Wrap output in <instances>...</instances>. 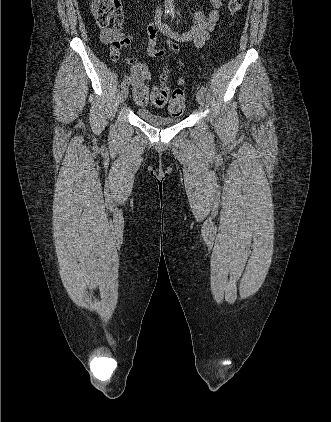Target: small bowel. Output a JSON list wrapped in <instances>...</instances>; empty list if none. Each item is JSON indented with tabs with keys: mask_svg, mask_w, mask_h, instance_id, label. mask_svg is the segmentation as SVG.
<instances>
[{
	"mask_svg": "<svg viewBox=\"0 0 331 422\" xmlns=\"http://www.w3.org/2000/svg\"><path fill=\"white\" fill-rule=\"evenodd\" d=\"M212 9L205 14L201 10H197L194 13V23L192 27L184 32H178L173 30L166 23L161 22V10H158L153 21H151L146 28L147 43L145 52L148 56L153 58H163L167 55L168 50L174 54H180L186 49L179 46V42H190L195 47H202L208 40L210 32H212L220 18L223 2L225 0H209ZM122 17L120 21L115 22L113 28L104 29L101 31V39L104 43L110 45V58L112 60H118L120 57V50L123 47H128L133 42L131 35V29L122 30ZM158 33L163 34L167 37L164 40V45L160 49L155 48ZM126 61L134 66L139 63L138 59L133 57L126 58ZM125 81L133 87L135 91L142 85L141 81L136 78L133 74L130 76L124 75ZM135 100L138 104L144 105L148 101V96L144 102L138 101L135 96ZM152 100V99H151Z\"/></svg>",
	"mask_w": 331,
	"mask_h": 422,
	"instance_id": "obj_1",
	"label": "small bowel"
}]
</instances>
